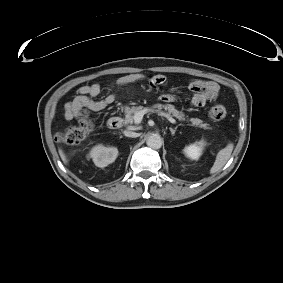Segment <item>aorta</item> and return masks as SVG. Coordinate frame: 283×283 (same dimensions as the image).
Instances as JSON below:
<instances>
[{
    "label": "aorta",
    "mask_w": 283,
    "mask_h": 283,
    "mask_svg": "<svg viewBox=\"0 0 283 283\" xmlns=\"http://www.w3.org/2000/svg\"><path fill=\"white\" fill-rule=\"evenodd\" d=\"M162 138L157 134H152L147 138L146 144L152 149H160L162 146Z\"/></svg>",
    "instance_id": "aorta-1"
}]
</instances>
